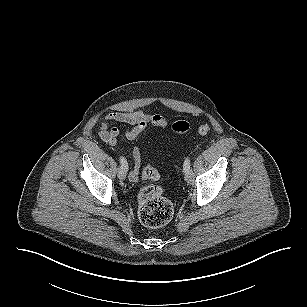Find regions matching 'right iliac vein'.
<instances>
[{
  "instance_id": "obj_1",
  "label": "right iliac vein",
  "mask_w": 307,
  "mask_h": 307,
  "mask_svg": "<svg viewBox=\"0 0 307 307\" xmlns=\"http://www.w3.org/2000/svg\"><path fill=\"white\" fill-rule=\"evenodd\" d=\"M117 174H118L119 179L121 180H124L126 178V171L122 169L121 167L118 168Z\"/></svg>"
}]
</instances>
